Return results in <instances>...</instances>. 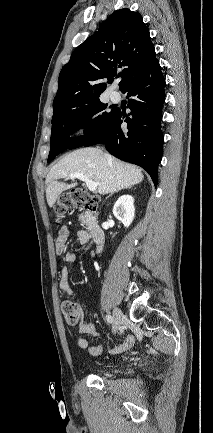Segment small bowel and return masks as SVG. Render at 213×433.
<instances>
[{
	"mask_svg": "<svg viewBox=\"0 0 213 433\" xmlns=\"http://www.w3.org/2000/svg\"><path fill=\"white\" fill-rule=\"evenodd\" d=\"M76 236L78 242L81 245L86 244L92 238L91 234L86 230H78ZM68 238H69V228L67 226H62L55 237V252L58 256L61 257L64 263L60 270V281H59V286L64 291L70 290V284L68 281L69 269L66 264L72 263L76 260V254L74 252L66 251ZM102 249H103L102 245H96L95 250L91 252V257L93 258L97 254H100L102 252ZM79 332L81 334H89V335L98 334L95 325L90 322L81 323L79 326ZM134 341H135L134 337L132 335H128L120 345L112 348L110 352L113 354L124 352L133 346ZM77 345L82 349L88 348L89 352L93 355L99 354L102 351L101 345L89 346L87 340L82 337L78 338Z\"/></svg>",
	"mask_w": 213,
	"mask_h": 433,
	"instance_id": "small-bowel-1",
	"label": "small bowel"
}]
</instances>
